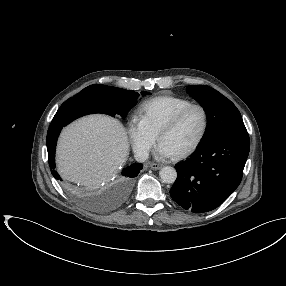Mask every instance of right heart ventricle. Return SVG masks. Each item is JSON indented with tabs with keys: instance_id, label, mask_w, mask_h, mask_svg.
I'll use <instances>...</instances> for the list:
<instances>
[{
	"instance_id": "1",
	"label": "right heart ventricle",
	"mask_w": 286,
	"mask_h": 286,
	"mask_svg": "<svg viewBox=\"0 0 286 286\" xmlns=\"http://www.w3.org/2000/svg\"><path fill=\"white\" fill-rule=\"evenodd\" d=\"M192 104L186 98L162 95L145 101L140 107V117L149 128L157 135L161 126L176 112Z\"/></svg>"
}]
</instances>
